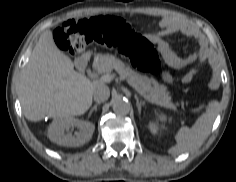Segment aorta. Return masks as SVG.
<instances>
[{
    "label": "aorta",
    "mask_w": 236,
    "mask_h": 182,
    "mask_svg": "<svg viewBox=\"0 0 236 182\" xmlns=\"http://www.w3.org/2000/svg\"><path fill=\"white\" fill-rule=\"evenodd\" d=\"M113 111L118 115H127L130 112V104L123 98H116L113 101Z\"/></svg>",
    "instance_id": "obj_1"
}]
</instances>
